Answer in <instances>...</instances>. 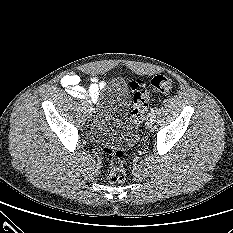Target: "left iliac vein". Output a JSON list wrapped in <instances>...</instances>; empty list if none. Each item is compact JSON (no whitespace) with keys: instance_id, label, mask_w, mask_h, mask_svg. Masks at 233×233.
Masks as SVG:
<instances>
[{"instance_id":"left-iliac-vein-1","label":"left iliac vein","mask_w":233,"mask_h":233,"mask_svg":"<svg viewBox=\"0 0 233 233\" xmlns=\"http://www.w3.org/2000/svg\"><path fill=\"white\" fill-rule=\"evenodd\" d=\"M154 114L152 113H149L146 117V120H145V126L146 128H151L152 125H153V122H154Z\"/></svg>"}]
</instances>
